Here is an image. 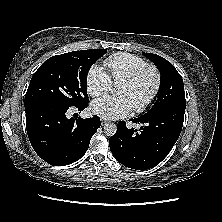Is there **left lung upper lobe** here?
Wrapping results in <instances>:
<instances>
[{
    "label": "left lung upper lobe",
    "instance_id": "5c2ea615",
    "mask_svg": "<svg viewBox=\"0 0 222 222\" xmlns=\"http://www.w3.org/2000/svg\"><path fill=\"white\" fill-rule=\"evenodd\" d=\"M144 55L155 63L161 73L160 93L147 113L173 104L186 106L183 79L175 67L156 54L144 53Z\"/></svg>",
    "mask_w": 222,
    "mask_h": 222
}]
</instances>
